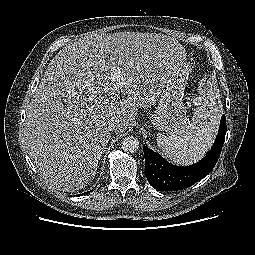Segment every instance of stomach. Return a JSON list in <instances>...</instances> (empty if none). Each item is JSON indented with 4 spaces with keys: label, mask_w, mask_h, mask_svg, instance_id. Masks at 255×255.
<instances>
[{
    "label": "stomach",
    "mask_w": 255,
    "mask_h": 255,
    "mask_svg": "<svg viewBox=\"0 0 255 255\" xmlns=\"http://www.w3.org/2000/svg\"><path fill=\"white\" fill-rule=\"evenodd\" d=\"M191 65L185 61L171 82L163 87L156 111L151 115V124L159 131L172 136H181L192 131L186 107L182 102Z\"/></svg>",
    "instance_id": "0dacf381"
}]
</instances>
